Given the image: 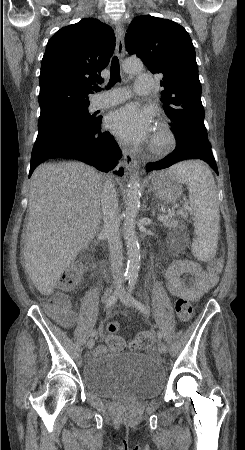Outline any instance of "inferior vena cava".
<instances>
[{
    "mask_svg": "<svg viewBox=\"0 0 245 450\" xmlns=\"http://www.w3.org/2000/svg\"><path fill=\"white\" fill-rule=\"evenodd\" d=\"M101 208L103 215V232L106 235L110 247L111 273L115 284H120L122 279L123 253L120 238V216L118 209V197L114 184L107 180L102 185Z\"/></svg>",
    "mask_w": 245,
    "mask_h": 450,
    "instance_id": "inferior-vena-cava-1",
    "label": "inferior vena cava"
}]
</instances>
